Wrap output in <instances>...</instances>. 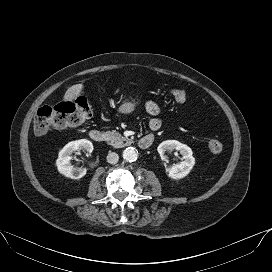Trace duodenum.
<instances>
[{
    "label": "duodenum",
    "instance_id": "obj_1",
    "mask_svg": "<svg viewBox=\"0 0 272 272\" xmlns=\"http://www.w3.org/2000/svg\"><path fill=\"white\" fill-rule=\"evenodd\" d=\"M89 134L93 141L97 143L105 142V134L102 130L91 129ZM153 141H154V137L152 135H146L139 140L138 145L140 148L146 149L152 145Z\"/></svg>",
    "mask_w": 272,
    "mask_h": 272
}]
</instances>
